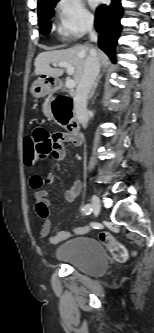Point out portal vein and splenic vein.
<instances>
[{
  "label": "portal vein and splenic vein",
  "mask_w": 154,
  "mask_h": 333,
  "mask_svg": "<svg viewBox=\"0 0 154 333\" xmlns=\"http://www.w3.org/2000/svg\"><path fill=\"white\" fill-rule=\"evenodd\" d=\"M53 66H59L67 69L68 75H72L74 73V67L67 62L53 63ZM65 86L69 89L74 88L76 86V81L73 79H67L65 82Z\"/></svg>",
  "instance_id": "obj_1"
}]
</instances>
